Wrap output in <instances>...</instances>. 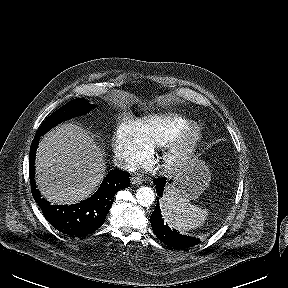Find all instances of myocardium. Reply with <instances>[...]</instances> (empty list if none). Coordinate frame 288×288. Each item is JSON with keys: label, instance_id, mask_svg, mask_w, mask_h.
<instances>
[{"label": "myocardium", "instance_id": "obj_1", "mask_svg": "<svg viewBox=\"0 0 288 288\" xmlns=\"http://www.w3.org/2000/svg\"><path fill=\"white\" fill-rule=\"evenodd\" d=\"M203 138V125L190 121L162 146L161 159L165 167L172 173L184 170L194 161Z\"/></svg>", "mask_w": 288, "mask_h": 288}]
</instances>
